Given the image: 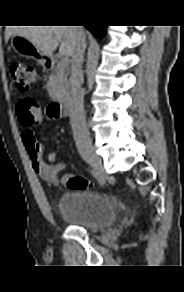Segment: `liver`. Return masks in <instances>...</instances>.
Returning <instances> with one entry per match:
<instances>
[{
  "label": "liver",
  "mask_w": 184,
  "mask_h": 292,
  "mask_svg": "<svg viewBox=\"0 0 184 292\" xmlns=\"http://www.w3.org/2000/svg\"><path fill=\"white\" fill-rule=\"evenodd\" d=\"M77 26H9L6 40L13 35L28 39L42 52L51 56L60 45L59 53L70 57L76 47L79 32ZM85 35V32H84Z\"/></svg>",
  "instance_id": "obj_1"
}]
</instances>
